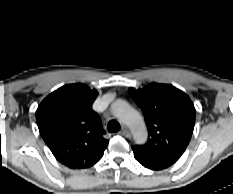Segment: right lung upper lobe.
<instances>
[{"instance_id": "obj_1", "label": "right lung upper lobe", "mask_w": 233, "mask_h": 194, "mask_svg": "<svg viewBox=\"0 0 233 194\" xmlns=\"http://www.w3.org/2000/svg\"><path fill=\"white\" fill-rule=\"evenodd\" d=\"M97 96L83 84L63 86L39 105L36 120L42 138L57 158L69 168H87L104 154L100 116L91 107Z\"/></svg>"}]
</instances>
